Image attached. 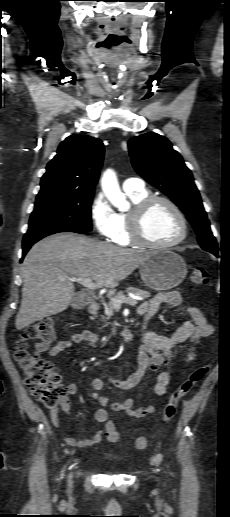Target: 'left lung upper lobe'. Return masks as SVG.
I'll return each instance as SVG.
<instances>
[{"instance_id": "obj_1", "label": "left lung upper lobe", "mask_w": 230, "mask_h": 517, "mask_svg": "<svg viewBox=\"0 0 230 517\" xmlns=\"http://www.w3.org/2000/svg\"><path fill=\"white\" fill-rule=\"evenodd\" d=\"M128 147L136 172L169 196L185 213L200 246L211 253L218 251L192 173L170 141L150 132L131 138Z\"/></svg>"}]
</instances>
